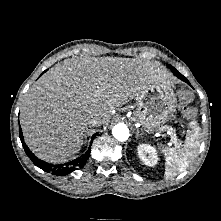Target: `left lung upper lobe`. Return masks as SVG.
Returning <instances> with one entry per match:
<instances>
[{"label": "left lung upper lobe", "mask_w": 221, "mask_h": 221, "mask_svg": "<svg viewBox=\"0 0 221 221\" xmlns=\"http://www.w3.org/2000/svg\"><path fill=\"white\" fill-rule=\"evenodd\" d=\"M168 67L171 69V71L174 72H178L174 67H172L171 65H168Z\"/></svg>", "instance_id": "left-lung-upper-lobe-1"}]
</instances>
